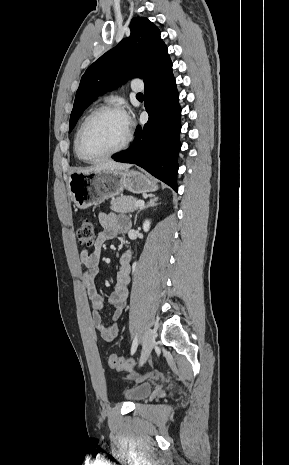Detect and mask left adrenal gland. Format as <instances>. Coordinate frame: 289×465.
Masks as SVG:
<instances>
[{
	"mask_svg": "<svg viewBox=\"0 0 289 465\" xmlns=\"http://www.w3.org/2000/svg\"><path fill=\"white\" fill-rule=\"evenodd\" d=\"M157 201H158V197L150 196L149 201L144 206L140 207L138 212L136 213L135 219H134V225L136 224L138 214L146 208L158 205Z\"/></svg>",
	"mask_w": 289,
	"mask_h": 465,
	"instance_id": "a2214340",
	"label": "left adrenal gland"
}]
</instances>
